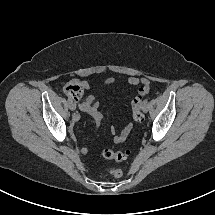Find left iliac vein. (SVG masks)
Wrapping results in <instances>:
<instances>
[{
  "mask_svg": "<svg viewBox=\"0 0 215 215\" xmlns=\"http://www.w3.org/2000/svg\"><path fill=\"white\" fill-rule=\"evenodd\" d=\"M149 108H150V104L148 102H145L142 111L144 113H147Z\"/></svg>",
  "mask_w": 215,
  "mask_h": 215,
  "instance_id": "obj_1",
  "label": "left iliac vein"
}]
</instances>
